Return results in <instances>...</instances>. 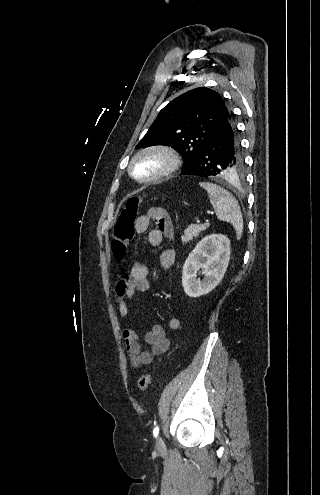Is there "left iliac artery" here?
Returning a JSON list of instances; mask_svg holds the SVG:
<instances>
[{
    "label": "left iliac artery",
    "mask_w": 320,
    "mask_h": 495,
    "mask_svg": "<svg viewBox=\"0 0 320 495\" xmlns=\"http://www.w3.org/2000/svg\"><path fill=\"white\" fill-rule=\"evenodd\" d=\"M159 434V426H156L154 429H153V436L154 437H157Z\"/></svg>",
    "instance_id": "1"
}]
</instances>
